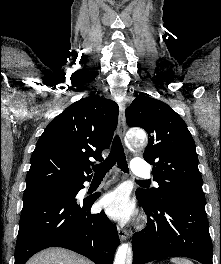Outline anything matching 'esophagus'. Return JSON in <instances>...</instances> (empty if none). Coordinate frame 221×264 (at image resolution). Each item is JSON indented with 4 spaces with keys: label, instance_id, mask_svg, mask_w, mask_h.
I'll return each mask as SVG.
<instances>
[{
    "label": "esophagus",
    "instance_id": "34e87169",
    "mask_svg": "<svg viewBox=\"0 0 221 264\" xmlns=\"http://www.w3.org/2000/svg\"><path fill=\"white\" fill-rule=\"evenodd\" d=\"M118 105H119V135L121 138H123L127 129L126 119H125L126 107L123 101H120ZM118 235L121 241H124L128 238L127 231L122 228H118Z\"/></svg>",
    "mask_w": 221,
    "mask_h": 264
}]
</instances>
